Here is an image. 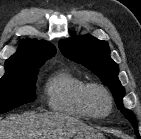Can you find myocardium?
<instances>
[{
	"label": "myocardium",
	"mask_w": 141,
	"mask_h": 139,
	"mask_svg": "<svg viewBox=\"0 0 141 139\" xmlns=\"http://www.w3.org/2000/svg\"><path fill=\"white\" fill-rule=\"evenodd\" d=\"M96 93L102 94L107 100V109L105 112L100 113L96 110L94 106V95ZM83 100L86 108L94 118H105L107 117L113 109V97L110 91L102 84L98 83H88L83 92Z\"/></svg>",
	"instance_id": "obj_1"
}]
</instances>
